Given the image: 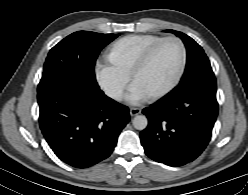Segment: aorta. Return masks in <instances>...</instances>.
Here are the masks:
<instances>
[{"mask_svg":"<svg viewBox=\"0 0 248 195\" xmlns=\"http://www.w3.org/2000/svg\"><path fill=\"white\" fill-rule=\"evenodd\" d=\"M132 123L137 130H144L147 127L148 121L144 115H137L134 117Z\"/></svg>","mask_w":248,"mask_h":195,"instance_id":"1","label":"aorta"}]
</instances>
